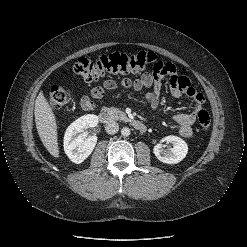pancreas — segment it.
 I'll list each match as a JSON object with an SVG mask.
<instances>
[{
	"mask_svg": "<svg viewBox=\"0 0 247 247\" xmlns=\"http://www.w3.org/2000/svg\"><path fill=\"white\" fill-rule=\"evenodd\" d=\"M110 117L114 120H126V114L118 108L111 107L109 109Z\"/></svg>",
	"mask_w": 247,
	"mask_h": 247,
	"instance_id": "obj_1",
	"label": "pancreas"
}]
</instances>
